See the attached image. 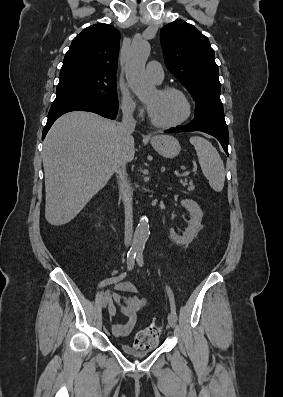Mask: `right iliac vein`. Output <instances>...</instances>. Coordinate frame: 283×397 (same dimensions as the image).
I'll use <instances>...</instances> for the list:
<instances>
[{
	"label": "right iliac vein",
	"mask_w": 283,
	"mask_h": 397,
	"mask_svg": "<svg viewBox=\"0 0 283 397\" xmlns=\"http://www.w3.org/2000/svg\"><path fill=\"white\" fill-rule=\"evenodd\" d=\"M109 300H110V293H109V291H107L105 293V297H104V300H103V307L104 308L107 306Z\"/></svg>",
	"instance_id": "1"
}]
</instances>
